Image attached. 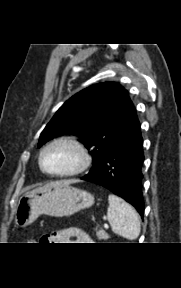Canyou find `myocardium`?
<instances>
[{"mask_svg": "<svg viewBox=\"0 0 181 288\" xmlns=\"http://www.w3.org/2000/svg\"><path fill=\"white\" fill-rule=\"evenodd\" d=\"M56 145H67L72 147L78 154L79 157V162L78 165L67 172L63 173H54L46 169L44 165V155L45 153L53 146ZM90 155L86 149V147L83 145V143L76 137L74 136H61L58 138L53 139L50 141L48 144L44 146V148L41 150L40 155H39V166L41 170L48 176L51 177H57V178H66V177H72L75 175H78L82 173L84 170L87 169V167L90 165Z\"/></svg>", "mask_w": 181, "mask_h": 288, "instance_id": "f54148a6", "label": "myocardium"}]
</instances>
